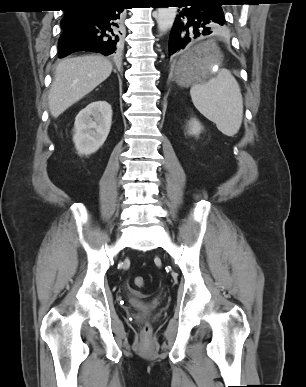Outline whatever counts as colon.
<instances>
[{
    "label": "colon",
    "instance_id": "5ec220e1",
    "mask_svg": "<svg viewBox=\"0 0 306 387\" xmlns=\"http://www.w3.org/2000/svg\"><path fill=\"white\" fill-rule=\"evenodd\" d=\"M134 285H135L136 287H138V288H143V287H145V285H146V281H145V279H144L142 276H136V277L134 278ZM143 332H144L145 334L149 333V332H150V326H149V325H145V326L143 327Z\"/></svg>",
    "mask_w": 306,
    "mask_h": 387
}]
</instances>
